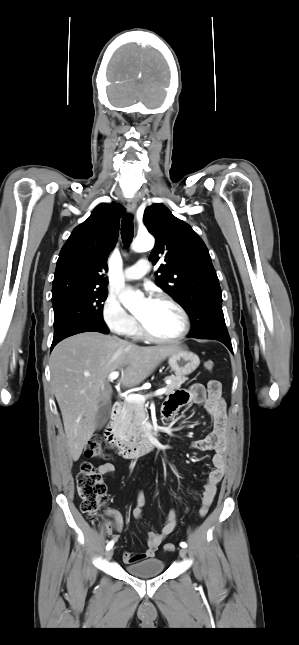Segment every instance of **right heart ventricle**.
I'll return each instance as SVG.
<instances>
[{
	"instance_id": "1",
	"label": "right heart ventricle",
	"mask_w": 299,
	"mask_h": 645,
	"mask_svg": "<svg viewBox=\"0 0 299 645\" xmlns=\"http://www.w3.org/2000/svg\"><path fill=\"white\" fill-rule=\"evenodd\" d=\"M132 335H138L137 328L133 331Z\"/></svg>"
}]
</instances>
